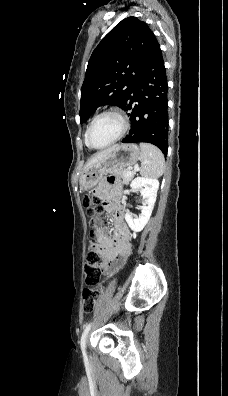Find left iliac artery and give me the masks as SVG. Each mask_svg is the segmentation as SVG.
I'll list each match as a JSON object with an SVG mask.
<instances>
[{
	"mask_svg": "<svg viewBox=\"0 0 228 396\" xmlns=\"http://www.w3.org/2000/svg\"><path fill=\"white\" fill-rule=\"evenodd\" d=\"M91 326H92V323L87 324L83 333H82V336H81L80 346L83 351L86 350V338H87V335H88V332H89Z\"/></svg>",
	"mask_w": 228,
	"mask_h": 396,
	"instance_id": "left-iliac-artery-1",
	"label": "left iliac artery"
}]
</instances>
